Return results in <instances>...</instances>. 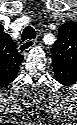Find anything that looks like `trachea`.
Wrapping results in <instances>:
<instances>
[{
  "label": "trachea",
  "instance_id": "obj_1",
  "mask_svg": "<svg viewBox=\"0 0 77 125\" xmlns=\"http://www.w3.org/2000/svg\"><path fill=\"white\" fill-rule=\"evenodd\" d=\"M36 37V31L34 30L33 27L27 26L22 33V40H28V39H34Z\"/></svg>",
  "mask_w": 77,
  "mask_h": 125
}]
</instances>
